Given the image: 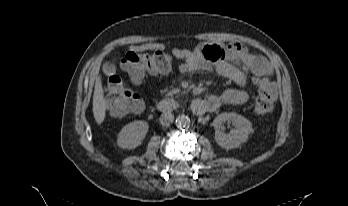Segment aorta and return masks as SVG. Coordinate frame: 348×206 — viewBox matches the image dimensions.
<instances>
[{
  "instance_id": "762f6f07",
  "label": "aorta",
  "mask_w": 348,
  "mask_h": 206,
  "mask_svg": "<svg viewBox=\"0 0 348 206\" xmlns=\"http://www.w3.org/2000/svg\"><path fill=\"white\" fill-rule=\"evenodd\" d=\"M189 123H190V118L187 115L182 114L176 118V126L178 128H184L188 126Z\"/></svg>"
}]
</instances>
